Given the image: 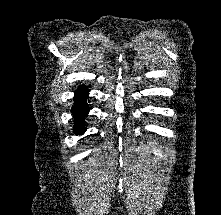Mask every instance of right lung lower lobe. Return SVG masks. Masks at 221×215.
Segmentation results:
<instances>
[{
    "label": "right lung lower lobe",
    "instance_id": "98d812e1",
    "mask_svg": "<svg viewBox=\"0 0 221 215\" xmlns=\"http://www.w3.org/2000/svg\"><path fill=\"white\" fill-rule=\"evenodd\" d=\"M87 95L88 90L84 86H80L75 94V103L72 108V113L74 118L77 119L74 126V131L77 134H82L85 131V127L82 122L88 113V106L86 104Z\"/></svg>",
    "mask_w": 221,
    "mask_h": 215
}]
</instances>
